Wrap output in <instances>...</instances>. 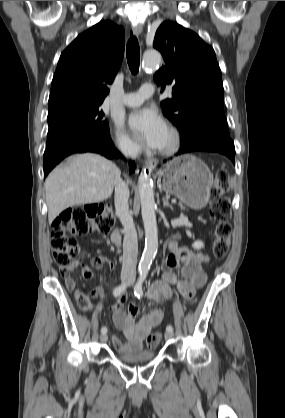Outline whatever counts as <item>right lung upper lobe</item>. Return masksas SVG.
<instances>
[{"mask_svg": "<svg viewBox=\"0 0 285 418\" xmlns=\"http://www.w3.org/2000/svg\"><path fill=\"white\" fill-rule=\"evenodd\" d=\"M124 29L101 21L80 34L61 54L49 104L78 100L103 102L121 65Z\"/></svg>", "mask_w": 285, "mask_h": 418, "instance_id": "1", "label": "right lung upper lobe"}]
</instances>
